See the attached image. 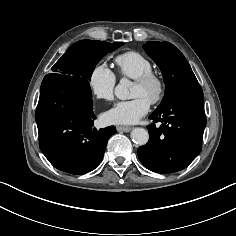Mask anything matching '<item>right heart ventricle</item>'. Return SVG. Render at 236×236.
Listing matches in <instances>:
<instances>
[{"label":"right heart ventricle","instance_id":"obj_1","mask_svg":"<svg viewBox=\"0 0 236 236\" xmlns=\"http://www.w3.org/2000/svg\"><path fill=\"white\" fill-rule=\"evenodd\" d=\"M118 71L125 78L135 79L140 75L152 71V62L138 51H127L115 58Z\"/></svg>","mask_w":236,"mask_h":236}]
</instances>
